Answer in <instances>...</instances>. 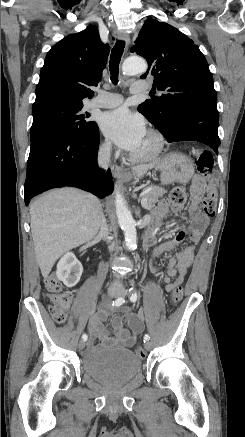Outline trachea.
<instances>
[{
    "mask_svg": "<svg viewBox=\"0 0 245 437\" xmlns=\"http://www.w3.org/2000/svg\"><path fill=\"white\" fill-rule=\"evenodd\" d=\"M124 47H125V42L122 40H118L115 43V46L113 47L110 55L109 70L111 74V81L114 85L118 83L119 64H120L121 56L123 54Z\"/></svg>",
    "mask_w": 245,
    "mask_h": 437,
    "instance_id": "obj_1",
    "label": "trachea"
}]
</instances>
